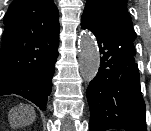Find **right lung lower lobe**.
Wrapping results in <instances>:
<instances>
[{
	"mask_svg": "<svg viewBox=\"0 0 151 131\" xmlns=\"http://www.w3.org/2000/svg\"><path fill=\"white\" fill-rule=\"evenodd\" d=\"M58 44L59 42L47 55V62L43 68L5 89H0V96L21 95L36 104L41 110H45L47 98L52 89V77L58 57Z\"/></svg>",
	"mask_w": 151,
	"mask_h": 131,
	"instance_id": "right-lung-lower-lobe-1",
	"label": "right lung lower lobe"
}]
</instances>
